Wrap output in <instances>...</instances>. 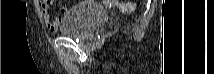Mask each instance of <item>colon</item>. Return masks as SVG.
Returning <instances> with one entry per match:
<instances>
[{"mask_svg": "<svg viewBox=\"0 0 214 74\" xmlns=\"http://www.w3.org/2000/svg\"><path fill=\"white\" fill-rule=\"evenodd\" d=\"M106 5L110 8L118 6L119 9L125 13L132 12L135 8V4L133 2L107 1Z\"/></svg>", "mask_w": 214, "mask_h": 74, "instance_id": "colon-1", "label": "colon"}]
</instances>
